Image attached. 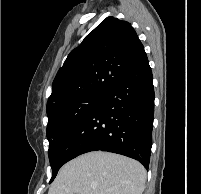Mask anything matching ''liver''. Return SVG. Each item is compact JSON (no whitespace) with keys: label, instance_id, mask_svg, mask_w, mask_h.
Here are the masks:
<instances>
[{"label":"liver","instance_id":"6515ba94","mask_svg":"<svg viewBox=\"0 0 201 194\" xmlns=\"http://www.w3.org/2000/svg\"><path fill=\"white\" fill-rule=\"evenodd\" d=\"M146 170L136 160L95 151L65 164L48 194H142Z\"/></svg>","mask_w":201,"mask_h":194}]
</instances>
